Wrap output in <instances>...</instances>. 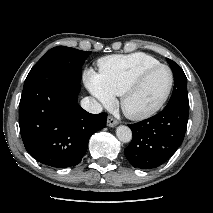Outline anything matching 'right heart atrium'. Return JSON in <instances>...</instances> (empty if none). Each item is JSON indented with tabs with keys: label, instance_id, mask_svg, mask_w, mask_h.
<instances>
[{
	"label": "right heart atrium",
	"instance_id": "d8ad5b80",
	"mask_svg": "<svg viewBox=\"0 0 213 213\" xmlns=\"http://www.w3.org/2000/svg\"><path fill=\"white\" fill-rule=\"evenodd\" d=\"M84 78L87 88L99 102L104 105L113 103L114 96L105 88L99 73L88 70Z\"/></svg>",
	"mask_w": 213,
	"mask_h": 213
}]
</instances>
